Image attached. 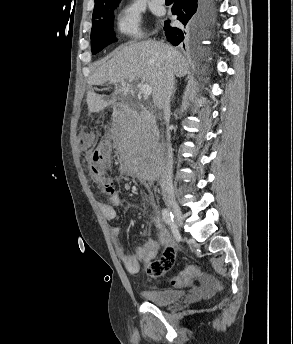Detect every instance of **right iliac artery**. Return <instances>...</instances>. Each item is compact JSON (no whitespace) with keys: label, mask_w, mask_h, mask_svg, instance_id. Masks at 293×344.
<instances>
[{"label":"right iliac artery","mask_w":293,"mask_h":344,"mask_svg":"<svg viewBox=\"0 0 293 344\" xmlns=\"http://www.w3.org/2000/svg\"><path fill=\"white\" fill-rule=\"evenodd\" d=\"M162 217L166 224L171 225L174 222L172 212L166 208L162 209Z\"/></svg>","instance_id":"obj_1"}]
</instances>
